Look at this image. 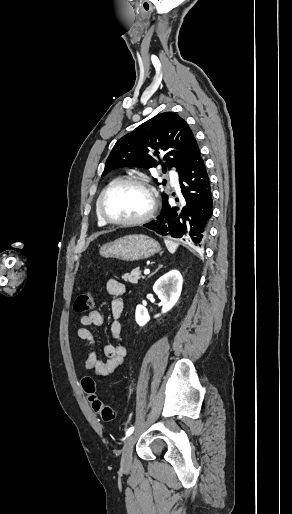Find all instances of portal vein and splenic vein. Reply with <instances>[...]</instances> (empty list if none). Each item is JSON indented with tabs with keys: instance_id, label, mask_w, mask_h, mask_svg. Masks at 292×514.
<instances>
[{
	"instance_id": "obj_1",
	"label": "portal vein and splenic vein",
	"mask_w": 292,
	"mask_h": 514,
	"mask_svg": "<svg viewBox=\"0 0 292 514\" xmlns=\"http://www.w3.org/2000/svg\"><path fill=\"white\" fill-rule=\"evenodd\" d=\"M144 274H150V270H145Z\"/></svg>"
}]
</instances>
